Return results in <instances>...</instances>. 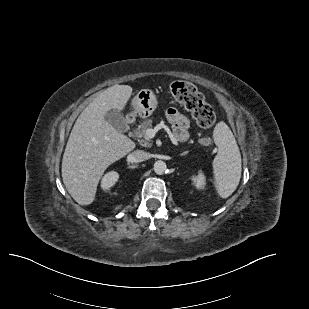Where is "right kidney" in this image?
<instances>
[{
    "instance_id": "ca27d5eb",
    "label": "right kidney",
    "mask_w": 309,
    "mask_h": 309,
    "mask_svg": "<svg viewBox=\"0 0 309 309\" xmlns=\"http://www.w3.org/2000/svg\"><path fill=\"white\" fill-rule=\"evenodd\" d=\"M119 175L117 172L111 171L107 173L101 180V187L103 190H108L112 187L118 180Z\"/></svg>"
}]
</instances>
